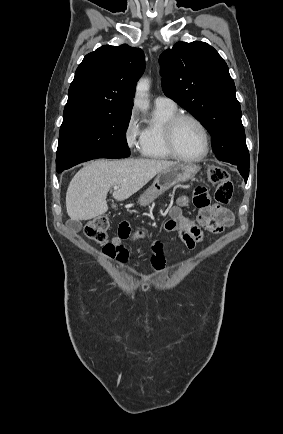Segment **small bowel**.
I'll use <instances>...</instances> for the list:
<instances>
[{"label":"small bowel","instance_id":"1","mask_svg":"<svg viewBox=\"0 0 283 434\" xmlns=\"http://www.w3.org/2000/svg\"><path fill=\"white\" fill-rule=\"evenodd\" d=\"M193 202L199 209L194 220H190L183 214L182 209L189 204V197L180 195L176 204L170 210V220L165 228L179 234L181 241L189 250H194L204 240V231L219 234L234 222L230 210L218 205H211L206 188L197 187L194 191ZM131 229L128 221L119 224L118 234L104 248V255L109 259L125 262L128 259V250L122 242L131 238ZM153 256L151 263L155 271H161L165 265L162 252V244L158 241L152 245Z\"/></svg>","mask_w":283,"mask_h":434}]
</instances>
